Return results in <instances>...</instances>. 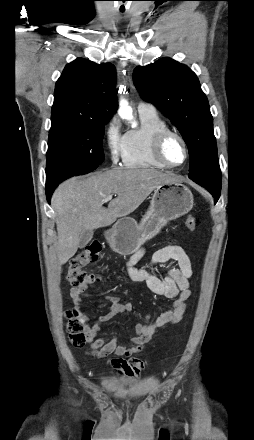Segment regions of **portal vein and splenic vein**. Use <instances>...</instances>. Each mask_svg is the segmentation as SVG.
Instances as JSON below:
<instances>
[{"instance_id":"1","label":"portal vein and splenic vein","mask_w":254,"mask_h":440,"mask_svg":"<svg viewBox=\"0 0 254 440\" xmlns=\"http://www.w3.org/2000/svg\"><path fill=\"white\" fill-rule=\"evenodd\" d=\"M113 195H107L104 197V201H110L112 199Z\"/></svg>"}]
</instances>
